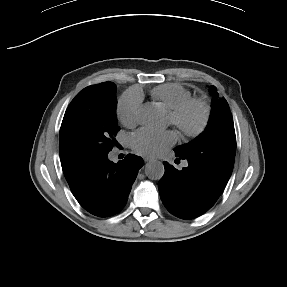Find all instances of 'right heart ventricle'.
Listing matches in <instances>:
<instances>
[{
  "instance_id": "1",
  "label": "right heart ventricle",
  "mask_w": 287,
  "mask_h": 287,
  "mask_svg": "<svg viewBox=\"0 0 287 287\" xmlns=\"http://www.w3.org/2000/svg\"><path fill=\"white\" fill-rule=\"evenodd\" d=\"M152 98L166 112L171 113L191 98L190 91L178 83H167L157 86L152 91Z\"/></svg>"
}]
</instances>
